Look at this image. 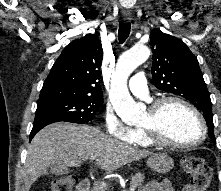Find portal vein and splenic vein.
<instances>
[{
	"instance_id": "portal-vein-and-splenic-vein-1",
	"label": "portal vein and splenic vein",
	"mask_w": 221,
	"mask_h": 191,
	"mask_svg": "<svg viewBox=\"0 0 221 191\" xmlns=\"http://www.w3.org/2000/svg\"><path fill=\"white\" fill-rule=\"evenodd\" d=\"M90 159L93 161V160H95V157H91ZM101 184L106 187V183L105 182H101ZM130 191H134V189L131 188Z\"/></svg>"
}]
</instances>
